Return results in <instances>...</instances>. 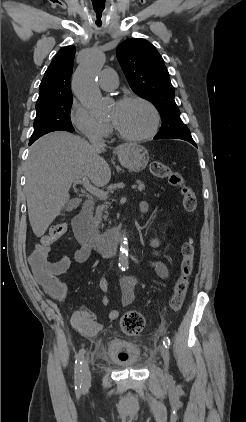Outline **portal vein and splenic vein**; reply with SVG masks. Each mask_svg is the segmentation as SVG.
<instances>
[{"instance_id": "18ae733b", "label": "portal vein and splenic vein", "mask_w": 246, "mask_h": 422, "mask_svg": "<svg viewBox=\"0 0 246 422\" xmlns=\"http://www.w3.org/2000/svg\"><path fill=\"white\" fill-rule=\"evenodd\" d=\"M76 183L81 184L89 193L93 194L94 196H96L100 199H106L107 198V193L104 192L103 190L98 189L97 187L93 186L92 184H90L87 177H83L82 180H78V181H76ZM136 187H137L136 185H132V189H135ZM139 189L142 190L141 187Z\"/></svg>"}]
</instances>
